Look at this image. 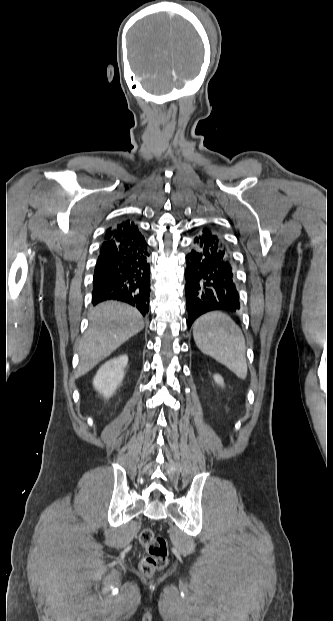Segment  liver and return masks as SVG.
I'll return each mask as SVG.
<instances>
[{
	"instance_id": "obj_1",
	"label": "liver",
	"mask_w": 333,
	"mask_h": 621,
	"mask_svg": "<svg viewBox=\"0 0 333 621\" xmlns=\"http://www.w3.org/2000/svg\"><path fill=\"white\" fill-rule=\"evenodd\" d=\"M89 320V329L78 348V376L86 374L144 328L137 309L114 301L97 305L90 312Z\"/></svg>"
}]
</instances>
